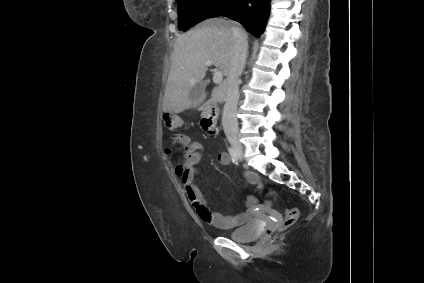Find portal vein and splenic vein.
Here are the masks:
<instances>
[{"mask_svg":"<svg viewBox=\"0 0 424 283\" xmlns=\"http://www.w3.org/2000/svg\"><path fill=\"white\" fill-rule=\"evenodd\" d=\"M207 66H212V61H207L206 62ZM223 81V73L219 70V69H214L213 71V82L215 84H220Z\"/></svg>","mask_w":424,"mask_h":283,"instance_id":"portal-vein-and-splenic-vein-1","label":"portal vein and splenic vein"}]
</instances>
